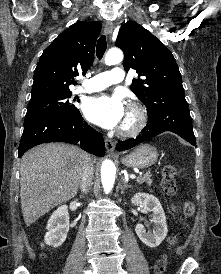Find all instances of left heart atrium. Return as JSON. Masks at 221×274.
Wrapping results in <instances>:
<instances>
[{
  "label": "left heart atrium",
  "instance_id": "obj_1",
  "mask_svg": "<svg viewBox=\"0 0 221 274\" xmlns=\"http://www.w3.org/2000/svg\"><path fill=\"white\" fill-rule=\"evenodd\" d=\"M83 112L90 122L106 129L120 125L126 114L121 96L105 94L87 99Z\"/></svg>",
  "mask_w": 221,
  "mask_h": 274
}]
</instances>
